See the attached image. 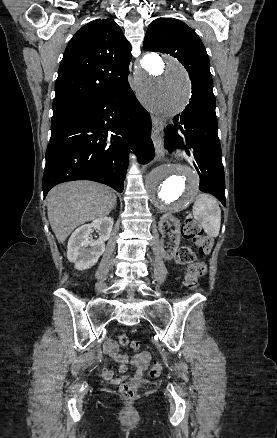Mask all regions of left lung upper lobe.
Returning a JSON list of instances; mask_svg holds the SVG:
<instances>
[{
  "label": "left lung upper lobe",
  "instance_id": "5c2ea615",
  "mask_svg": "<svg viewBox=\"0 0 277 438\" xmlns=\"http://www.w3.org/2000/svg\"><path fill=\"white\" fill-rule=\"evenodd\" d=\"M143 49L170 54L184 65L192 83L191 100L215 98L205 47L194 30L184 22L175 18L155 19L147 29Z\"/></svg>",
  "mask_w": 277,
  "mask_h": 438
}]
</instances>
